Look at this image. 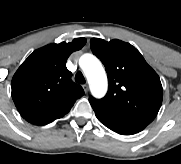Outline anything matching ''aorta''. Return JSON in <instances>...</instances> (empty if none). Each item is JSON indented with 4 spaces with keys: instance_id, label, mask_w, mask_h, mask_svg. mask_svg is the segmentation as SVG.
<instances>
[{
    "instance_id": "1",
    "label": "aorta",
    "mask_w": 181,
    "mask_h": 164,
    "mask_svg": "<svg viewBox=\"0 0 181 164\" xmlns=\"http://www.w3.org/2000/svg\"><path fill=\"white\" fill-rule=\"evenodd\" d=\"M80 66L88 80L90 91L96 98L103 97L108 88L107 75L99 59L91 54L80 58Z\"/></svg>"
}]
</instances>
